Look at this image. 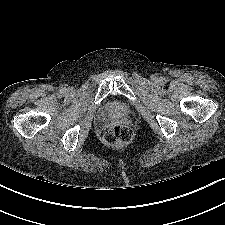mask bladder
<instances>
[{"label": "bladder", "instance_id": "1", "mask_svg": "<svg viewBox=\"0 0 225 225\" xmlns=\"http://www.w3.org/2000/svg\"><path fill=\"white\" fill-rule=\"evenodd\" d=\"M131 112V108L124 102H112L104 107L102 115L104 118L112 116H127Z\"/></svg>", "mask_w": 225, "mask_h": 225}]
</instances>
